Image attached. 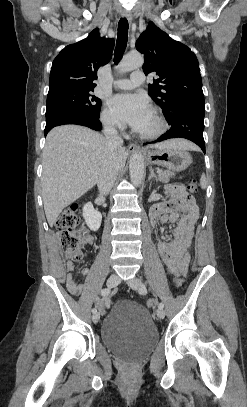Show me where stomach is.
Returning <instances> with one entry per match:
<instances>
[{
    "mask_svg": "<svg viewBox=\"0 0 247 407\" xmlns=\"http://www.w3.org/2000/svg\"><path fill=\"white\" fill-rule=\"evenodd\" d=\"M145 158L149 164L160 165L172 171H183L192 163L189 152L172 147L154 148L145 151Z\"/></svg>",
    "mask_w": 247,
    "mask_h": 407,
    "instance_id": "obj_1",
    "label": "stomach"
}]
</instances>
